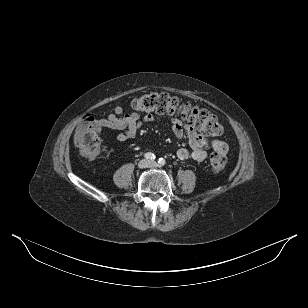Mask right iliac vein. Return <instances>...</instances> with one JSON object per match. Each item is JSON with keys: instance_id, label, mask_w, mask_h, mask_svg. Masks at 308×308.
Masks as SVG:
<instances>
[{"instance_id": "63e3f726", "label": "right iliac vein", "mask_w": 308, "mask_h": 308, "mask_svg": "<svg viewBox=\"0 0 308 308\" xmlns=\"http://www.w3.org/2000/svg\"><path fill=\"white\" fill-rule=\"evenodd\" d=\"M150 166V162L148 160H141L139 163H138V167L140 169H143V168H146V167H149Z\"/></svg>"}]
</instances>
